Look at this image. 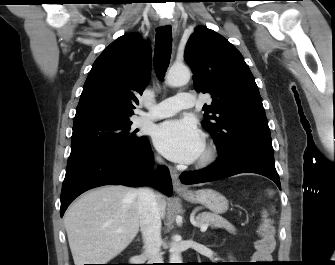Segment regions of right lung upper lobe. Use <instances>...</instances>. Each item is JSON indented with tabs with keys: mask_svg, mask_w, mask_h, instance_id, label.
Listing matches in <instances>:
<instances>
[{
	"mask_svg": "<svg viewBox=\"0 0 335 265\" xmlns=\"http://www.w3.org/2000/svg\"><path fill=\"white\" fill-rule=\"evenodd\" d=\"M151 77V49L138 34H125L95 60L85 81L73 127L129 121Z\"/></svg>",
	"mask_w": 335,
	"mask_h": 265,
	"instance_id": "right-lung-upper-lobe-1",
	"label": "right lung upper lobe"
}]
</instances>
